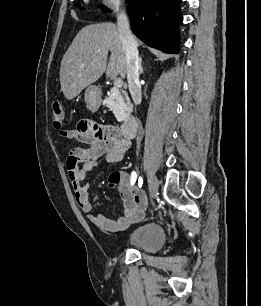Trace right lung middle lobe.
Wrapping results in <instances>:
<instances>
[{
	"instance_id": "1",
	"label": "right lung middle lobe",
	"mask_w": 261,
	"mask_h": 306,
	"mask_svg": "<svg viewBox=\"0 0 261 306\" xmlns=\"http://www.w3.org/2000/svg\"><path fill=\"white\" fill-rule=\"evenodd\" d=\"M130 0H127V2H129ZM77 7H79V4H75ZM101 9H103L104 11H106L107 10V8L106 7H104V6H99Z\"/></svg>"
}]
</instances>
